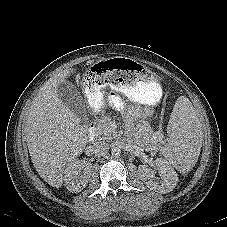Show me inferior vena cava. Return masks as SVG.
Wrapping results in <instances>:
<instances>
[{
	"label": "inferior vena cava",
	"mask_w": 227,
	"mask_h": 227,
	"mask_svg": "<svg viewBox=\"0 0 227 227\" xmlns=\"http://www.w3.org/2000/svg\"><path fill=\"white\" fill-rule=\"evenodd\" d=\"M109 144L105 141H97L93 145L94 153L98 156H104L109 151Z\"/></svg>",
	"instance_id": "obj_1"
}]
</instances>
